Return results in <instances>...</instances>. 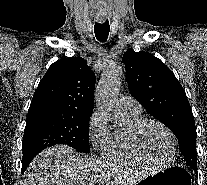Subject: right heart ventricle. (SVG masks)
<instances>
[{
  "mask_svg": "<svg viewBox=\"0 0 207 185\" xmlns=\"http://www.w3.org/2000/svg\"><path fill=\"white\" fill-rule=\"evenodd\" d=\"M124 114L126 117L124 124L109 132L102 140L103 156L109 161L122 165L151 164L152 161L142 154L134 139V130L144 117L141 112H124Z\"/></svg>",
  "mask_w": 207,
  "mask_h": 185,
  "instance_id": "right-heart-ventricle-1",
  "label": "right heart ventricle"
}]
</instances>
